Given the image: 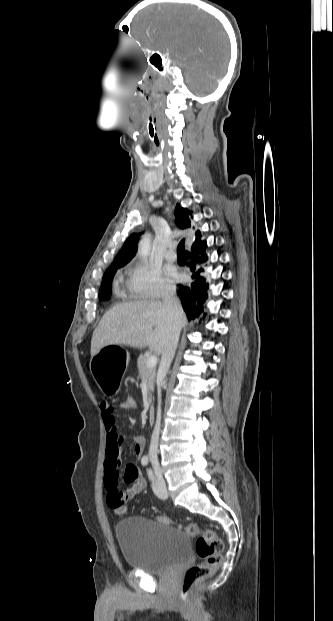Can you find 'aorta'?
<instances>
[{"label":"aorta","instance_id":"obj_1","mask_svg":"<svg viewBox=\"0 0 333 621\" xmlns=\"http://www.w3.org/2000/svg\"><path fill=\"white\" fill-rule=\"evenodd\" d=\"M151 249V239L149 235H144L138 245V254L145 259Z\"/></svg>","mask_w":333,"mask_h":621}]
</instances>
